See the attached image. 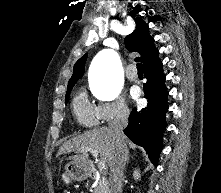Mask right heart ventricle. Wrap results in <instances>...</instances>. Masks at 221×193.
<instances>
[{
	"instance_id": "e07e8e85",
	"label": "right heart ventricle",
	"mask_w": 221,
	"mask_h": 193,
	"mask_svg": "<svg viewBox=\"0 0 221 193\" xmlns=\"http://www.w3.org/2000/svg\"><path fill=\"white\" fill-rule=\"evenodd\" d=\"M73 113L79 124L90 127L99 122L97 108L92 104L84 93H79L72 103Z\"/></svg>"
}]
</instances>
